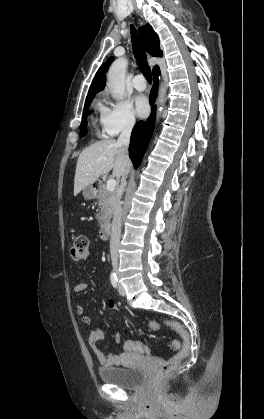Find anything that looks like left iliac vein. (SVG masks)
Masks as SVG:
<instances>
[{
	"label": "left iliac vein",
	"mask_w": 264,
	"mask_h": 419,
	"mask_svg": "<svg viewBox=\"0 0 264 419\" xmlns=\"http://www.w3.org/2000/svg\"><path fill=\"white\" fill-rule=\"evenodd\" d=\"M119 294L122 295V296L125 295V291H124V289H123V287H122L121 284H119Z\"/></svg>",
	"instance_id": "4c4485c4"
}]
</instances>
